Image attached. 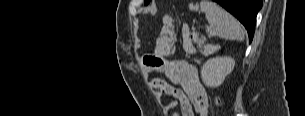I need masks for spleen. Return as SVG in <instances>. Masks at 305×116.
<instances>
[{
	"instance_id": "spleen-1",
	"label": "spleen",
	"mask_w": 305,
	"mask_h": 116,
	"mask_svg": "<svg viewBox=\"0 0 305 116\" xmlns=\"http://www.w3.org/2000/svg\"><path fill=\"white\" fill-rule=\"evenodd\" d=\"M200 10L205 13L210 24V36H218L229 40H243L244 31L240 23L227 11L212 1L202 0L200 4H189L190 10Z\"/></svg>"
}]
</instances>
